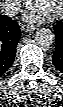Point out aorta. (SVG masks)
<instances>
[{
	"instance_id": "1",
	"label": "aorta",
	"mask_w": 63,
	"mask_h": 107,
	"mask_svg": "<svg viewBox=\"0 0 63 107\" xmlns=\"http://www.w3.org/2000/svg\"><path fill=\"white\" fill-rule=\"evenodd\" d=\"M35 40L40 46L48 47L54 43L55 34L48 28H41L36 32Z\"/></svg>"
}]
</instances>
